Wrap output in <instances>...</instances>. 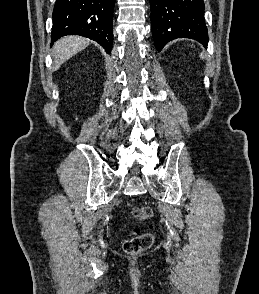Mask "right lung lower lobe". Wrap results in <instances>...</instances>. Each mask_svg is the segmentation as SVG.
I'll use <instances>...</instances> for the list:
<instances>
[{"label": "right lung lower lobe", "mask_w": 259, "mask_h": 294, "mask_svg": "<svg viewBox=\"0 0 259 294\" xmlns=\"http://www.w3.org/2000/svg\"><path fill=\"white\" fill-rule=\"evenodd\" d=\"M114 1L56 0L51 42L66 35H80L95 40L110 53L113 41Z\"/></svg>", "instance_id": "right-lung-lower-lobe-1"}]
</instances>
